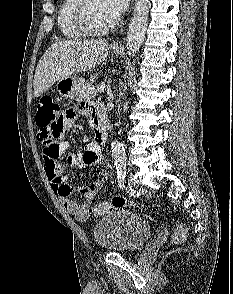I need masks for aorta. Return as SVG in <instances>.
I'll list each match as a JSON object with an SVG mask.
<instances>
[{"label":"aorta","instance_id":"762f6f07","mask_svg":"<svg viewBox=\"0 0 233 294\" xmlns=\"http://www.w3.org/2000/svg\"><path fill=\"white\" fill-rule=\"evenodd\" d=\"M149 15V0H135L134 12L127 33V54L129 57L139 50L145 38ZM114 162L117 167H124L126 156L123 145L114 141L111 145Z\"/></svg>","mask_w":233,"mask_h":294}]
</instances>
